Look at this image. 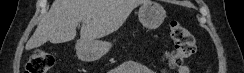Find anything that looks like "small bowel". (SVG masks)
<instances>
[{
  "mask_svg": "<svg viewBox=\"0 0 244 73\" xmlns=\"http://www.w3.org/2000/svg\"><path fill=\"white\" fill-rule=\"evenodd\" d=\"M110 73H153L150 68L146 65L129 60L125 61L116 68L112 69ZM177 73H190V68L187 65H182L179 67Z\"/></svg>",
  "mask_w": 244,
  "mask_h": 73,
  "instance_id": "obj_1",
  "label": "small bowel"
}]
</instances>
